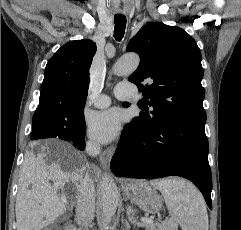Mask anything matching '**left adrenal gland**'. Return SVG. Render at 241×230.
<instances>
[{
  "label": "left adrenal gland",
  "mask_w": 241,
  "mask_h": 230,
  "mask_svg": "<svg viewBox=\"0 0 241 230\" xmlns=\"http://www.w3.org/2000/svg\"><path fill=\"white\" fill-rule=\"evenodd\" d=\"M135 213L136 211L133 209L132 206L127 207V216L129 218V221L136 225L137 220L135 219Z\"/></svg>",
  "instance_id": "obj_1"
}]
</instances>
